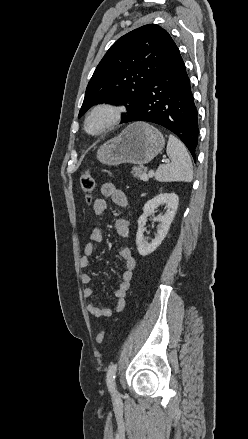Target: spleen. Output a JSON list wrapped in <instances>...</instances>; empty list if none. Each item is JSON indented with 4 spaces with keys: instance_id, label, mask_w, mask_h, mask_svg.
I'll return each instance as SVG.
<instances>
[{
    "instance_id": "3e777b00",
    "label": "spleen",
    "mask_w": 248,
    "mask_h": 439,
    "mask_svg": "<svg viewBox=\"0 0 248 439\" xmlns=\"http://www.w3.org/2000/svg\"><path fill=\"white\" fill-rule=\"evenodd\" d=\"M166 152L171 162L158 167L155 173L156 180L160 182H191L193 168L184 144L174 135H169Z\"/></svg>"
}]
</instances>
